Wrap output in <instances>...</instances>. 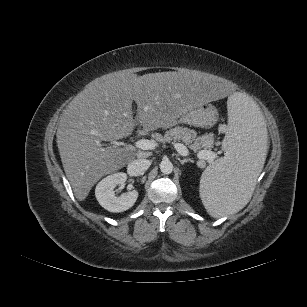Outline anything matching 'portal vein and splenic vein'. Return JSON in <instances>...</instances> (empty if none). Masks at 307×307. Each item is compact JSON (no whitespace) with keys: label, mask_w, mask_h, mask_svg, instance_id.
<instances>
[{"label":"portal vein and splenic vein","mask_w":307,"mask_h":307,"mask_svg":"<svg viewBox=\"0 0 307 307\" xmlns=\"http://www.w3.org/2000/svg\"><path fill=\"white\" fill-rule=\"evenodd\" d=\"M155 146L156 142L153 140L141 139L135 142V147L141 150H152ZM174 148L182 156H187L189 154L187 147L182 143H174ZM197 157L199 159L207 160L209 163H213L217 154L210 150H201L197 153Z\"/></svg>","instance_id":"1"}]
</instances>
